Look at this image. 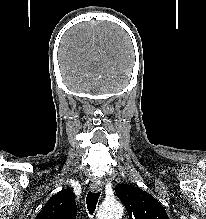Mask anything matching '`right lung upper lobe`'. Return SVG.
<instances>
[{
	"label": "right lung upper lobe",
	"instance_id": "cb5924a9",
	"mask_svg": "<svg viewBox=\"0 0 206 219\" xmlns=\"http://www.w3.org/2000/svg\"><path fill=\"white\" fill-rule=\"evenodd\" d=\"M75 195L69 189L50 197L35 219H76Z\"/></svg>",
	"mask_w": 206,
	"mask_h": 219
}]
</instances>
